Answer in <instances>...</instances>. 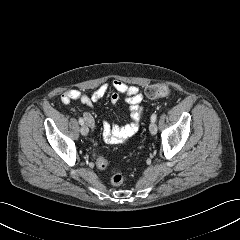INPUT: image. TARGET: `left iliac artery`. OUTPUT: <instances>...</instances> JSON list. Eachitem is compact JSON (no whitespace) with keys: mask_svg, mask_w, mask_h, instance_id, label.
<instances>
[{"mask_svg":"<svg viewBox=\"0 0 240 240\" xmlns=\"http://www.w3.org/2000/svg\"><path fill=\"white\" fill-rule=\"evenodd\" d=\"M156 119H157V115H156L155 113L152 114V116H151V121H152V122H155Z\"/></svg>","mask_w":240,"mask_h":240,"instance_id":"left-iliac-artery-1","label":"left iliac artery"}]
</instances>
